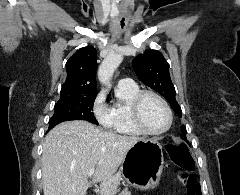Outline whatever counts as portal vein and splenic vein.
Masks as SVG:
<instances>
[{
    "label": "portal vein and splenic vein",
    "mask_w": 240,
    "mask_h": 195,
    "mask_svg": "<svg viewBox=\"0 0 240 195\" xmlns=\"http://www.w3.org/2000/svg\"><path fill=\"white\" fill-rule=\"evenodd\" d=\"M94 169L95 167H91L89 175H92V173H94Z\"/></svg>",
    "instance_id": "1"
}]
</instances>
